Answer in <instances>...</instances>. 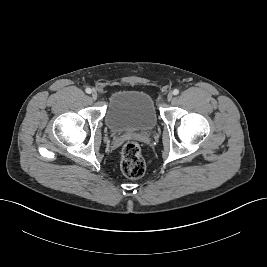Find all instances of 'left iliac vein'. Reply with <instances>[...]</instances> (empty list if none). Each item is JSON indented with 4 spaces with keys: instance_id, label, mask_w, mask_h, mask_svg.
Segmentation results:
<instances>
[{
    "instance_id": "obj_1",
    "label": "left iliac vein",
    "mask_w": 267,
    "mask_h": 267,
    "mask_svg": "<svg viewBox=\"0 0 267 267\" xmlns=\"http://www.w3.org/2000/svg\"><path fill=\"white\" fill-rule=\"evenodd\" d=\"M172 98H173V93L170 92V93L167 95V101H171Z\"/></svg>"
}]
</instances>
